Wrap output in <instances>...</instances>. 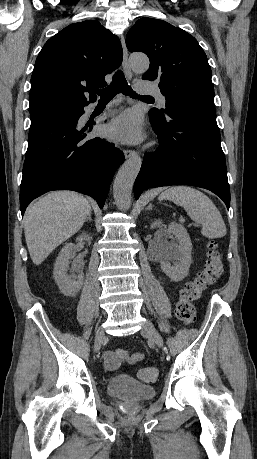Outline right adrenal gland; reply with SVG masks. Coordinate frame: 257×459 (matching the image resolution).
I'll use <instances>...</instances> for the list:
<instances>
[{
    "mask_svg": "<svg viewBox=\"0 0 257 459\" xmlns=\"http://www.w3.org/2000/svg\"><path fill=\"white\" fill-rule=\"evenodd\" d=\"M86 221H91V214L87 217Z\"/></svg>",
    "mask_w": 257,
    "mask_h": 459,
    "instance_id": "1",
    "label": "right adrenal gland"
}]
</instances>
